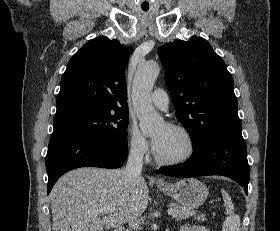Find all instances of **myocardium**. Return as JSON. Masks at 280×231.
<instances>
[{
  "label": "myocardium",
  "instance_id": "1",
  "mask_svg": "<svg viewBox=\"0 0 280 231\" xmlns=\"http://www.w3.org/2000/svg\"><path fill=\"white\" fill-rule=\"evenodd\" d=\"M168 127L172 128L173 130L180 133L186 138L189 146L188 151L180 157H175L171 159H165L157 153L155 155V158L159 164L164 166H176V165L186 163L187 161L192 159L196 153L197 144H196L195 137L192 134V132L184 126L178 124H168Z\"/></svg>",
  "mask_w": 280,
  "mask_h": 231
}]
</instances>
